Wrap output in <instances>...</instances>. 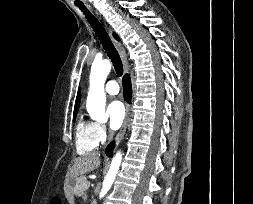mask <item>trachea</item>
<instances>
[{
  "mask_svg": "<svg viewBox=\"0 0 253 204\" xmlns=\"http://www.w3.org/2000/svg\"><path fill=\"white\" fill-rule=\"evenodd\" d=\"M80 10L85 15L86 19L91 24L93 30L95 31L97 37L99 38L105 52L107 53L108 57L111 59L114 69L118 76L123 74V65L120 59V56L115 49L109 35L107 34L104 27L101 23L91 14V12L82 4L78 5Z\"/></svg>",
  "mask_w": 253,
  "mask_h": 204,
  "instance_id": "obj_1",
  "label": "trachea"
}]
</instances>
